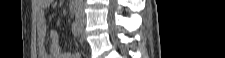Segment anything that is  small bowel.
Here are the masks:
<instances>
[{
  "instance_id": "obj_1",
  "label": "small bowel",
  "mask_w": 225,
  "mask_h": 58,
  "mask_svg": "<svg viewBox=\"0 0 225 58\" xmlns=\"http://www.w3.org/2000/svg\"><path fill=\"white\" fill-rule=\"evenodd\" d=\"M51 3L52 0H36L39 54L43 58H80V53L78 51L68 53L64 50L58 41V33L56 31H48L45 10L50 6ZM46 36L49 37L50 41L49 56H47L44 46Z\"/></svg>"
}]
</instances>
